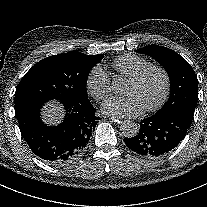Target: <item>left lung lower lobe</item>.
Listing matches in <instances>:
<instances>
[{
    "instance_id": "obj_1",
    "label": "left lung lower lobe",
    "mask_w": 207,
    "mask_h": 207,
    "mask_svg": "<svg viewBox=\"0 0 207 207\" xmlns=\"http://www.w3.org/2000/svg\"><path fill=\"white\" fill-rule=\"evenodd\" d=\"M192 118L171 111L144 119L140 123L139 133L124 142L128 148L146 158L164 156L174 149L185 137Z\"/></svg>"
}]
</instances>
